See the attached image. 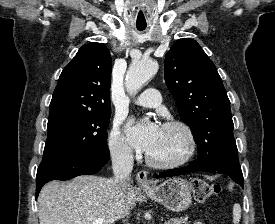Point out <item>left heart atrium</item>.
<instances>
[{"label":"left heart atrium","mask_w":275,"mask_h":224,"mask_svg":"<svg viewBox=\"0 0 275 224\" xmlns=\"http://www.w3.org/2000/svg\"><path fill=\"white\" fill-rule=\"evenodd\" d=\"M161 132V126L156 122H132L128 125V140L133 148L149 153L154 148Z\"/></svg>","instance_id":"39dd6f15"}]
</instances>
